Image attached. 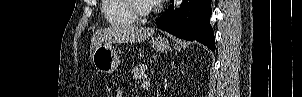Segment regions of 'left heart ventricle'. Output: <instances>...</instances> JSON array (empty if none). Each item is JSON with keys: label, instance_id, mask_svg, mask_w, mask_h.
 <instances>
[{"label": "left heart ventricle", "instance_id": "1", "mask_svg": "<svg viewBox=\"0 0 302 97\" xmlns=\"http://www.w3.org/2000/svg\"><path fill=\"white\" fill-rule=\"evenodd\" d=\"M138 4H139L141 7H145V6H147L149 3L147 2V0H139V1H138Z\"/></svg>", "mask_w": 302, "mask_h": 97}]
</instances>
